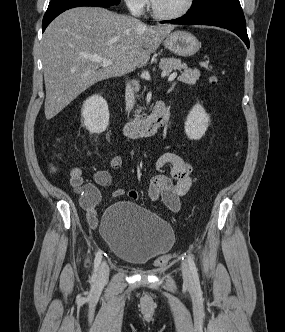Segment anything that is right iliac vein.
I'll return each mask as SVG.
<instances>
[{
  "mask_svg": "<svg viewBox=\"0 0 285 332\" xmlns=\"http://www.w3.org/2000/svg\"><path fill=\"white\" fill-rule=\"evenodd\" d=\"M109 277V266L106 261H103L99 267L98 275H97V284H105L108 281Z\"/></svg>",
  "mask_w": 285,
  "mask_h": 332,
  "instance_id": "right-iliac-vein-1",
  "label": "right iliac vein"
}]
</instances>
